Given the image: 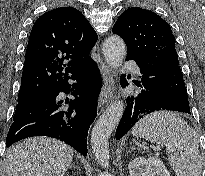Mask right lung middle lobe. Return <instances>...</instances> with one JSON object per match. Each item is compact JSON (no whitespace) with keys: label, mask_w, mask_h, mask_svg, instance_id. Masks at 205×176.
<instances>
[{"label":"right lung middle lobe","mask_w":205,"mask_h":176,"mask_svg":"<svg viewBox=\"0 0 205 176\" xmlns=\"http://www.w3.org/2000/svg\"><path fill=\"white\" fill-rule=\"evenodd\" d=\"M43 94H44V93L39 94V95H35V96H32V97H27V98L18 99V104H17V107H16V111H15L13 120H15L16 118H18L19 115H20L26 108H28L34 101H36L37 99H39Z\"/></svg>","instance_id":"dd1d6c3e"}]
</instances>
